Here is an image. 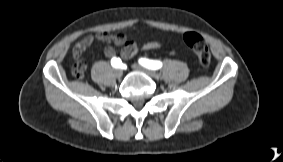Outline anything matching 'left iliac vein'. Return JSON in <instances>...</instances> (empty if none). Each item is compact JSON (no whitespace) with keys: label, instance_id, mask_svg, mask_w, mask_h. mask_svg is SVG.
Instances as JSON below:
<instances>
[{"label":"left iliac vein","instance_id":"4c4485c4","mask_svg":"<svg viewBox=\"0 0 283 162\" xmlns=\"http://www.w3.org/2000/svg\"><path fill=\"white\" fill-rule=\"evenodd\" d=\"M132 68L137 70V71L145 73L146 75H148L151 78H158V74L155 71L147 69V68L140 66L138 64H133Z\"/></svg>","mask_w":283,"mask_h":162}]
</instances>
